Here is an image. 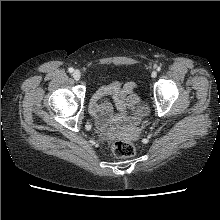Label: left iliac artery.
<instances>
[{
	"instance_id": "1",
	"label": "left iliac artery",
	"mask_w": 220,
	"mask_h": 220,
	"mask_svg": "<svg viewBox=\"0 0 220 220\" xmlns=\"http://www.w3.org/2000/svg\"><path fill=\"white\" fill-rule=\"evenodd\" d=\"M160 69H161V67L159 66V67L157 68V70L160 71Z\"/></svg>"
}]
</instances>
